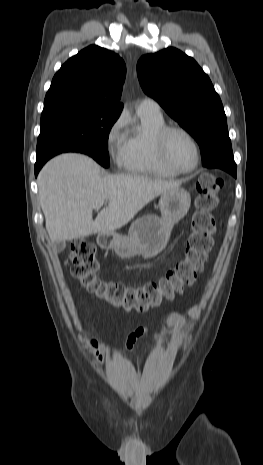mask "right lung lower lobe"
<instances>
[{
	"instance_id": "obj_1",
	"label": "right lung lower lobe",
	"mask_w": 263,
	"mask_h": 465,
	"mask_svg": "<svg viewBox=\"0 0 263 465\" xmlns=\"http://www.w3.org/2000/svg\"><path fill=\"white\" fill-rule=\"evenodd\" d=\"M42 166H43V164H42V165H41V164H37V163L35 164V174H36V175L38 174V172H39V170L41 169Z\"/></svg>"
}]
</instances>
